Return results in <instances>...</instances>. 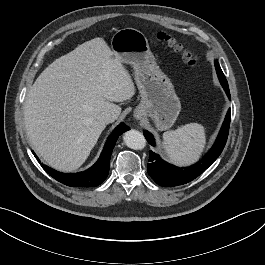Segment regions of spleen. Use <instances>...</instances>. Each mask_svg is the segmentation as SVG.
Instances as JSON below:
<instances>
[{
  "label": "spleen",
  "mask_w": 265,
  "mask_h": 265,
  "mask_svg": "<svg viewBox=\"0 0 265 265\" xmlns=\"http://www.w3.org/2000/svg\"><path fill=\"white\" fill-rule=\"evenodd\" d=\"M206 145L205 127L198 123L186 124L163 134V146L170 160L177 165L196 162Z\"/></svg>",
  "instance_id": "spleen-1"
}]
</instances>
